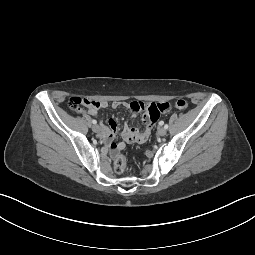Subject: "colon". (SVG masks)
<instances>
[{"instance_id":"1","label":"colon","mask_w":255,"mask_h":255,"mask_svg":"<svg viewBox=\"0 0 255 255\" xmlns=\"http://www.w3.org/2000/svg\"><path fill=\"white\" fill-rule=\"evenodd\" d=\"M97 105V101L89 100L86 98L73 97L69 102L70 108L75 112H80L82 110V106H95ZM174 106L177 109L184 110L188 107V102L184 99H178L174 102ZM114 170L117 173H122L126 169V159L120 151L114 152Z\"/></svg>"}]
</instances>
